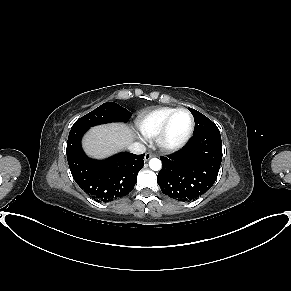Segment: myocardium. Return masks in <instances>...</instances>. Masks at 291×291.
I'll use <instances>...</instances> for the list:
<instances>
[{
	"mask_svg": "<svg viewBox=\"0 0 291 291\" xmlns=\"http://www.w3.org/2000/svg\"><path fill=\"white\" fill-rule=\"evenodd\" d=\"M186 112L190 117V126L186 132V134L176 142H169L168 141V131L170 128V124L174 116L179 112ZM195 127V119L192 112L187 108H177L175 109L165 120L160 132L156 136V142L160 149L167 151V152H174L183 148L188 141L190 140Z\"/></svg>",
	"mask_w": 291,
	"mask_h": 291,
	"instance_id": "obj_1",
	"label": "myocardium"
}]
</instances>
